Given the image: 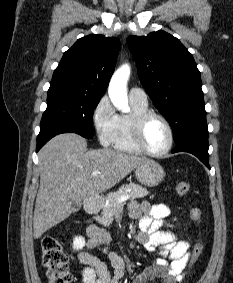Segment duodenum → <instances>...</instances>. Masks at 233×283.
<instances>
[{"label": "duodenum", "instance_id": "1", "mask_svg": "<svg viewBox=\"0 0 233 283\" xmlns=\"http://www.w3.org/2000/svg\"><path fill=\"white\" fill-rule=\"evenodd\" d=\"M102 207V201L96 197H90L85 202V211L89 215H94L99 212Z\"/></svg>", "mask_w": 233, "mask_h": 283}]
</instances>
